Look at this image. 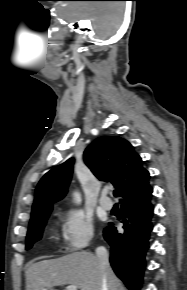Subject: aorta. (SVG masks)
I'll list each match as a JSON object with an SVG mask.
<instances>
[{
	"label": "aorta",
	"instance_id": "1",
	"mask_svg": "<svg viewBox=\"0 0 187 290\" xmlns=\"http://www.w3.org/2000/svg\"><path fill=\"white\" fill-rule=\"evenodd\" d=\"M76 198H77V200H78V201L80 200V197H79V195H78V194H76Z\"/></svg>",
	"mask_w": 187,
	"mask_h": 290
}]
</instances>
